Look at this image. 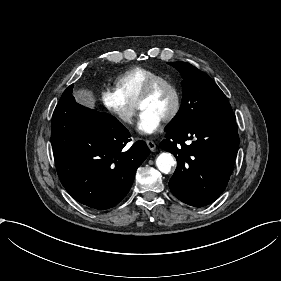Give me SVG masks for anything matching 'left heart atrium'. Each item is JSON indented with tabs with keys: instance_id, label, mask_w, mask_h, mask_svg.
I'll return each mask as SVG.
<instances>
[{
	"instance_id": "left-heart-atrium-1",
	"label": "left heart atrium",
	"mask_w": 281,
	"mask_h": 281,
	"mask_svg": "<svg viewBox=\"0 0 281 281\" xmlns=\"http://www.w3.org/2000/svg\"><path fill=\"white\" fill-rule=\"evenodd\" d=\"M161 120L146 110H141L138 129L144 134H152L157 131Z\"/></svg>"
}]
</instances>
